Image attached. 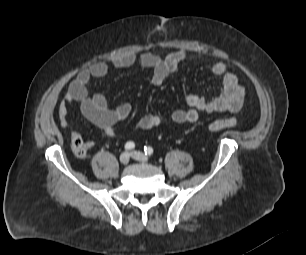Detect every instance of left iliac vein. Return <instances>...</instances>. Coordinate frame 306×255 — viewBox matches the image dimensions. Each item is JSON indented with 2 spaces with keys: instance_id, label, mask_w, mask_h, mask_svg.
Listing matches in <instances>:
<instances>
[{
  "instance_id": "obj_1",
  "label": "left iliac vein",
  "mask_w": 306,
  "mask_h": 255,
  "mask_svg": "<svg viewBox=\"0 0 306 255\" xmlns=\"http://www.w3.org/2000/svg\"><path fill=\"white\" fill-rule=\"evenodd\" d=\"M130 155L133 159H135L137 161H140V162H143V163H148V160H149L148 157L140 151H133V152H131Z\"/></svg>"
}]
</instances>
